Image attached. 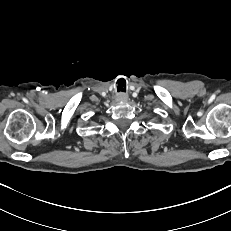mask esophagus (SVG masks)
<instances>
[{
	"label": "esophagus",
	"mask_w": 231,
	"mask_h": 231,
	"mask_svg": "<svg viewBox=\"0 0 231 231\" xmlns=\"http://www.w3.org/2000/svg\"><path fill=\"white\" fill-rule=\"evenodd\" d=\"M128 99H129V97H128V95H126V94H120V95L117 97V100H118L119 102H126V101H128Z\"/></svg>",
	"instance_id": "esophagus-1"
}]
</instances>
